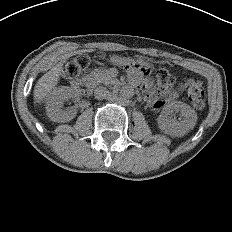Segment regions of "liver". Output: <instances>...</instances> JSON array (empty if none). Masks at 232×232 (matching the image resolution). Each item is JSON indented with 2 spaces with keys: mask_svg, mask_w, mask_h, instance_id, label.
I'll list each match as a JSON object with an SVG mask.
<instances>
[{
  "mask_svg": "<svg viewBox=\"0 0 232 232\" xmlns=\"http://www.w3.org/2000/svg\"><path fill=\"white\" fill-rule=\"evenodd\" d=\"M62 62L52 67L46 74H44L36 83L34 87V102H42L52 89L57 85L61 71L63 69Z\"/></svg>",
  "mask_w": 232,
  "mask_h": 232,
  "instance_id": "6515ba94",
  "label": "liver"
}]
</instances>
